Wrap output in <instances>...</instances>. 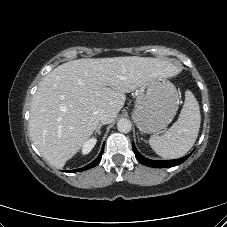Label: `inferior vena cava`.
Returning <instances> with one entry per match:
<instances>
[{
  "label": "inferior vena cava",
  "mask_w": 227,
  "mask_h": 227,
  "mask_svg": "<svg viewBox=\"0 0 227 227\" xmlns=\"http://www.w3.org/2000/svg\"><path fill=\"white\" fill-rule=\"evenodd\" d=\"M115 118V113L110 109H102L99 113V120L102 124H109Z\"/></svg>",
  "instance_id": "1"
}]
</instances>
